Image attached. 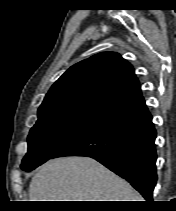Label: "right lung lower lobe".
Returning a JSON list of instances; mask_svg holds the SVG:
<instances>
[{
    "mask_svg": "<svg viewBox=\"0 0 176 211\" xmlns=\"http://www.w3.org/2000/svg\"><path fill=\"white\" fill-rule=\"evenodd\" d=\"M156 131L146 107L109 116L51 158L88 156L126 179L148 202L157 181Z\"/></svg>",
    "mask_w": 176,
    "mask_h": 211,
    "instance_id": "98d812e1",
    "label": "right lung lower lobe"
}]
</instances>
